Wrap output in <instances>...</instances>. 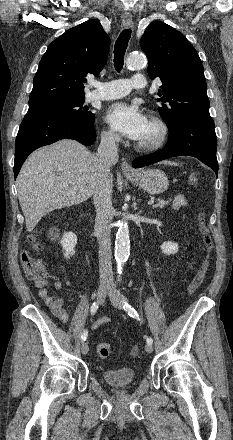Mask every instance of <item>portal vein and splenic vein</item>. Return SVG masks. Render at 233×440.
<instances>
[{
    "label": "portal vein and splenic vein",
    "instance_id": "1",
    "mask_svg": "<svg viewBox=\"0 0 233 440\" xmlns=\"http://www.w3.org/2000/svg\"><path fill=\"white\" fill-rule=\"evenodd\" d=\"M152 204H154V201H153V200H151V201L148 202V205H152Z\"/></svg>",
    "mask_w": 233,
    "mask_h": 440
}]
</instances>
